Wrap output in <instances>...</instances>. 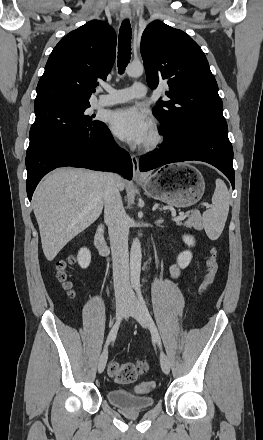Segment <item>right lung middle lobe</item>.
Returning <instances> with one entry per match:
<instances>
[{"instance_id": "dd1d6c3e", "label": "right lung middle lobe", "mask_w": 263, "mask_h": 440, "mask_svg": "<svg viewBox=\"0 0 263 440\" xmlns=\"http://www.w3.org/2000/svg\"><path fill=\"white\" fill-rule=\"evenodd\" d=\"M89 103H56L44 108H34L36 119L30 129L27 154L47 143L70 134H84L99 130L105 124L93 120Z\"/></svg>"}]
</instances>
